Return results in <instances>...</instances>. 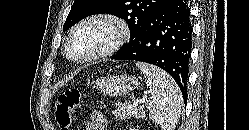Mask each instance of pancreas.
Returning a JSON list of instances; mask_svg holds the SVG:
<instances>
[{
  "label": "pancreas",
  "instance_id": "cf45deb5",
  "mask_svg": "<svg viewBox=\"0 0 249 130\" xmlns=\"http://www.w3.org/2000/svg\"><path fill=\"white\" fill-rule=\"evenodd\" d=\"M113 115L116 118H121V119H130V118L140 119L145 117L142 108H137L128 103L116 104L115 109L113 110Z\"/></svg>",
  "mask_w": 249,
  "mask_h": 130
}]
</instances>
